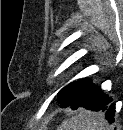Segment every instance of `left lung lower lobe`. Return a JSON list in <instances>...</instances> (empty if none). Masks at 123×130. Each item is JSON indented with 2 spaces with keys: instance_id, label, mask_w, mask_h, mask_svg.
<instances>
[{
  "instance_id": "obj_1",
  "label": "left lung lower lobe",
  "mask_w": 123,
  "mask_h": 130,
  "mask_svg": "<svg viewBox=\"0 0 123 130\" xmlns=\"http://www.w3.org/2000/svg\"><path fill=\"white\" fill-rule=\"evenodd\" d=\"M113 99L104 94L99 86L93 85L90 80L87 81L79 103L72 107L73 110L83 107L92 111L105 112L106 119L109 123H113L115 114V103ZM66 108V107H62Z\"/></svg>"
}]
</instances>
